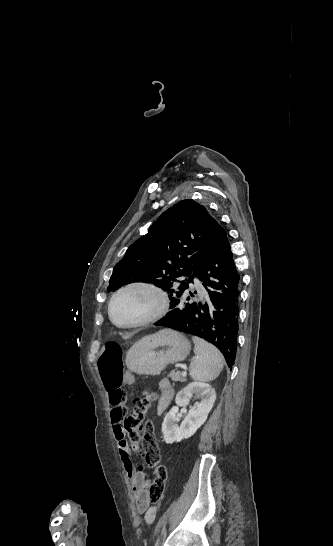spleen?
Here are the masks:
<instances>
[{
  "mask_svg": "<svg viewBox=\"0 0 333 546\" xmlns=\"http://www.w3.org/2000/svg\"><path fill=\"white\" fill-rule=\"evenodd\" d=\"M195 358L190 363V376L199 382L215 380L224 366V358L219 350L199 337H192Z\"/></svg>",
  "mask_w": 333,
  "mask_h": 546,
  "instance_id": "spleen-1",
  "label": "spleen"
}]
</instances>
